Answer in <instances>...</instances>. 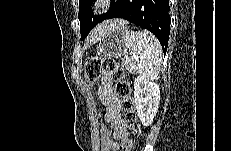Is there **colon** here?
Segmentation results:
<instances>
[{"label":"colon","mask_w":231,"mask_h":151,"mask_svg":"<svg viewBox=\"0 0 231 151\" xmlns=\"http://www.w3.org/2000/svg\"><path fill=\"white\" fill-rule=\"evenodd\" d=\"M84 74L86 80L94 84L102 74H110L115 81V94L122 99V107L126 114V119L134 124L137 120L134 101L131 97V85L125 79V74L120 65L111 58L91 57L85 62ZM102 151H108L109 131L104 123L100 125ZM135 139L127 137L123 139L115 148L116 151H131Z\"/></svg>","instance_id":"obj_1"}]
</instances>
